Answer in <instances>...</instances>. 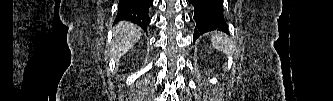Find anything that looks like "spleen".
I'll use <instances>...</instances> for the list:
<instances>
[{
	"instance_id": "spleen-1",
	"label": "spleen",
	"mask_w": 333,
	"mask_h": 101,
	"mask_svg": "<svg viewBox=\"0 0 333 101\" xmlns=\"http://www.w3.org/2000/svg\"><path fill=\"white\" fill-rule=\"evenodd\" d=\"M211 43L215 49L227 55H231L232 52L235 50L231 39L223 33H215L214 35H212Z\"/></svg>"
}]
</instances>
